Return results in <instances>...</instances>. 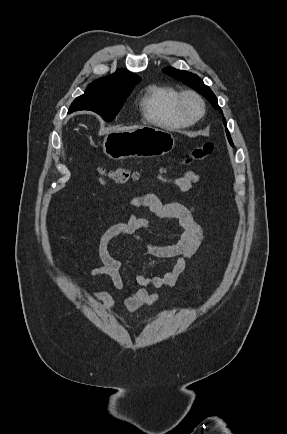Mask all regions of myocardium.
I'll list each match as a JSON object with an SVG mask.
<instances>
[{"mask_svg":"<svg viewBox=\"0 0 287 434\" xmlns=\"http://www.w3.org/2000/svg\"><path fill=\"white\" fill-rule=\"evenodd\" d=\"M189 100H193L197 103V113H191L188 111L186 104ZM175 107L178 114L190 123L199 120L203 116L205 111V104L203 98L199 93L193 90H185L181 93H178L175 101Z\"/></svg>","mask_w":287,"mask_h":434,"instance_id":"f54148a6","label":"myocardium"}]
</instances>
